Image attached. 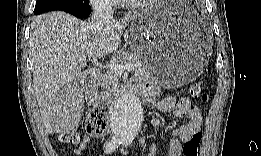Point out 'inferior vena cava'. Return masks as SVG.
<instances>
[{
  "label": "inferior vena cava",
  "mask_w": 261,
  "mask_h": 156,
  "mask_svg": "<svg viewBox=\"0 0 261 156\" xmlns=\"http://www.w3.org/2000/svg\"><path fill=\"white\" fill-rule=\"evenodd\" d=\"M93 14L91 17L92 25L101 28L111 22L113 9L109 0H95L92 2Z\"/></svg>",
  "instance_id": "obj_1"
}]
</instances>
